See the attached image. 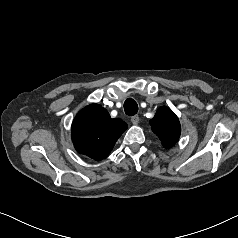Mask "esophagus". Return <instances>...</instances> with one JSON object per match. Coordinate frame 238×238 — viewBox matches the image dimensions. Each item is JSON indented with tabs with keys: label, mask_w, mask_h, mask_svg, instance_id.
<instances>
[{
	"label": "esophagus",
	"mask_w": 238,
	"mask_h": 238,
	"mask_svg": "<svg viewBox=\"0 0 238 238\" xmlns=\"http://www.w3.org/2000/svg\"><path fill=\"white\" fill-rule=\"evenodd\" d=\"M139 121H140V118H139L138 115H135V116L131 117V122H132L133 125H137L139 123Z\"/></svg>",
	"instance_id": "1"
}]
</instances>
